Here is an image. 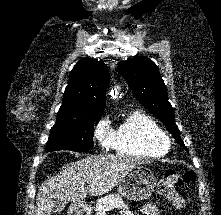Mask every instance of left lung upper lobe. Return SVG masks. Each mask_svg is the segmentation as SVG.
Returning <instances> with one entry per match:
<instances>
[{
	"label": "left lung upper lobe",
	"mask_w": 221,
	"mask_h": 215,
	"mask_svg": "<svg viewBox=\"0 0 221 215\" xmlns=\"http://www.w3.org/2000/svg\"><path fill=\"white\" fill-rule=\"evenodd\" d=\"M118 71L139 102L161 120L176 141L185 147L175 124L174 110L168 101L166 86L156 64L145 56H138L121 61ZM186 150L188 151L187 148Z\"/></svg>",
	"instance_id": "obj_1"
}]
</instances>
